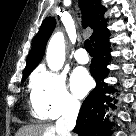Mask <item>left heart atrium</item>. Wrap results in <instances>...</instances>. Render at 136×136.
<instances>
[{"label":"left heart atrium","mask_w":136,"mask_h":136,"mask_svg":"<svg viewBox=\"0 0 136 136\" xmlns=\"http://www.w3.org/2000/svg\"><path fill=\"white\" fill-rule=\"evenodd\" d=\"M71 86L77 97H83L92 86V79L84 69H77L71 77Z\"/></svg>","instance_id":"obj_1"}]
</instances>
